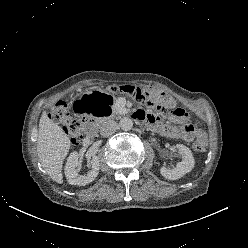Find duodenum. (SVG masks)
Returning <instances> with one entry per match:
<instances>
[{
  "label": "duodenum",
  "instance_id": "1",
  "mask_svg": "<svg viewBox=\"0 0 248 248\" xmlns=\"http://www.w3.org/2000/svg\"><path fill=\"white\" fill-rule=\"evenodd\" d=\"M132 116L137 120H142V116L139 112H134ZM99 121L100 119L93 116V119L87 122L86 127H85V132H86L87 137H92L95 134L96 129H97V124Z\"/></svg>",
  "mask_w": 248,
  "mask_h": 248
}]
</instances>
